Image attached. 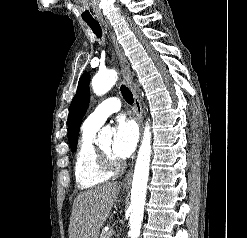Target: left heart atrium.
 Returning <instances> with one entry per match:
<instances>
[{
	"label": "left heart atrium",
	"instance_id": "39dd6f15",
	"mask_svg": "<svg viewBox=\"0 0 247 238\" xmlns=\"http://www.w3.org/2000/svg\"><path fill=\"white\" fill-rule=\"evenodd\" d=\"M137 140L138 130L135 123L125 118H119L114 129L113 155L121 159L130 156L136 147Z\"/></svg>",
	"mask_w": 247,
	"mask_h": 238
}]
</instances>
